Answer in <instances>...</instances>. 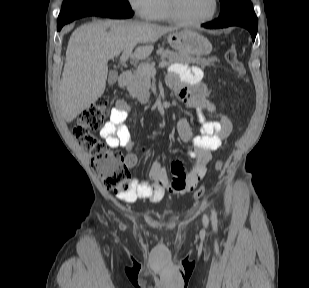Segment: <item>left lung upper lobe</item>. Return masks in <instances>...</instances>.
Masks as SVG:
<instances>
[{
  "label": "left lung upper lobe",
  "mask_w": 309,
  "mask_h": 288,
  "mask_svg": "<svg viewBox=\"0 0 309 288\" xmlns=\"http://www.w3.org/2000/svg\"><path fill=\"white\" fill-rule=\"evenodd\" d=\"M220 2L221 12L219 18L228 17L252 7V3L249 0H220Z\"/></svg>",
  "instance_id": "5c2ea615"
}]
</instances>
